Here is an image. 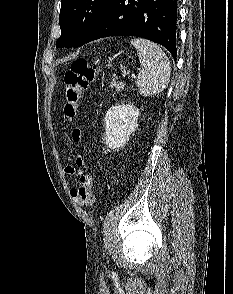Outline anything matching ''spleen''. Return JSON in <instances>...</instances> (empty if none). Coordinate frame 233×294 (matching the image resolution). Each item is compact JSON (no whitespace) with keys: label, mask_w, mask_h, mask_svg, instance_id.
<instances>
[{"label":"spleen","mask_w":233,"mask_h":294,"mask_svg":"<svg viewBox=\"0 0 233 294\" xmlns=\"http://www.w3.org/2000/svg\"><path fill=\"white\" fill-rule=\"evenodd\" d=\"M130 43L135 47L142 67L136 81L140 94L148 97L162 93L171 74L166 54L157 44L146 39L134 38Z\"/></svg>","instance_id":"obj_1"}]
</instances>
